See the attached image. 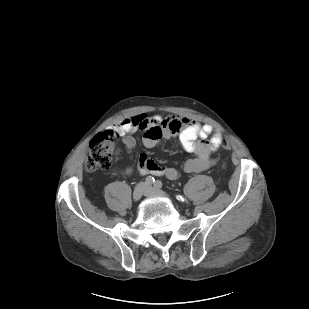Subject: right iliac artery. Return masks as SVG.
Listing matches in <instances>:
<instances>
[{
    "instance_id": "1",
    "label": "right iliac artery",
    "mask_w": 309,
    "mask_h": 309,
    "mask_svg": "<svg viewBox=\"0 0 309 309\" xmlns=\"http://www.w3.org/2000/svg\"><path fill=\"white\" fill-rule=\"evenodd\" d=\"M146 184L152 185L155 182V179L151 176H148L145 180Z\"/></svg>"
}]
</instances>
